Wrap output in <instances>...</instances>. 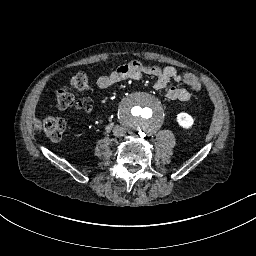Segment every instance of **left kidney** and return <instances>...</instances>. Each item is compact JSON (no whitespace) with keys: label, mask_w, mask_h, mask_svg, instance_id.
Returning <instances> with one entry per match:
<instances>
[{"label":"left kidney","mask_w":256,"mask_h":256,"mask_svg":"<svg viewBox=\"0 0 256 256\" xmlns=\"http://www.w3.org/2000/svg\"><path fill=\"white\" fill-rule=\"evenodd\" d=\"M176 119L178 125L183 129H190L194 126L195 123L194 118L186 112L178 113Z\"/></svg>","instance_id":"obj_1"}]
</instances>
